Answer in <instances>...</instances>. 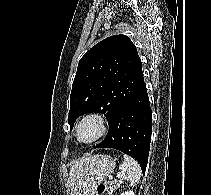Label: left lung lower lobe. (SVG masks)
Wrapping results in <instances>:
<instances>
[{
    "mask_svg": "<svg viewBox=\"0 0 211 195\" xmlns=\"http://www.w3.org/2000/svg\"><path fill=\"white\" fill-rule=\"evenodd\" d=\"M152 115L144 80L109 123L105 139L95 148H114L135 158L145 173L152 132Z\"/></svg>",
    "mask_w": 211,
    "mask_h": 195,
    "instance_id": "1",
    "label": "left lung lower lobe"
}]
</instances>
